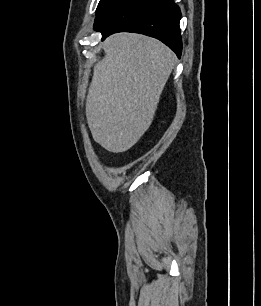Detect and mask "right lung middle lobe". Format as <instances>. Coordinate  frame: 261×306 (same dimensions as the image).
Instances as JSON below:
<instances>
[{
	"label": "right lung middle lobe",
	"instance_id": "dd1d6c3e",
	"mask_svg": "<svg viewBox=\"0 0 261 306\" xmlns=\"http://www.w3.org/2000/svg\"><path fill=\"white\" fill-rule=\"evenodd\" d=\"M112 0H100L97 10H96V17L99 13L111 2Z\"/></svg>",
	"mask_w": 261,
	"mask_h": 306
}]
</instances>
